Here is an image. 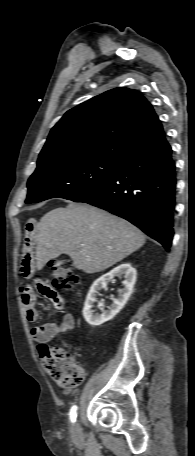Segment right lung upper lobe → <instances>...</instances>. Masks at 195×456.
<instances>
[{"label":"right lung upper lobe","mask_w":195,"mask_h":456,"mask_svg":"<svg viewBox=\"0 0 195 456\" xmlns=\"http://www.w3.org/2000/svg\"><path fill=\"white\" fill-rule=\"evenodd\" d=\"M167 144L160 120L144 96L116 88L67 111L52 128L37 164L63 158L121 163Z\"/></svg>","instance_id":"1"}]
</instances>
